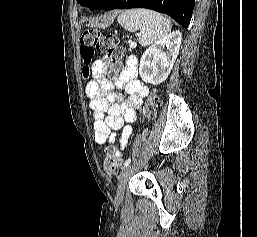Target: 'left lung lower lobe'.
<instances>
[{"mask_svg": "<svg viewBox=\"0 0 257 237\" xmlns=\"http://www.w3.org/2000/svg\"><path fill=\"white\" fill-rule=\"evenodd\" d=\"M195 0H110L102 9H127V8H147L172 17L177 23L187 29Z\"/></svg>", "mask_w": 257, "mask_h": 237, "instance_id": "obj_1", "label": "left lung lower lobe"}]
</instances>
